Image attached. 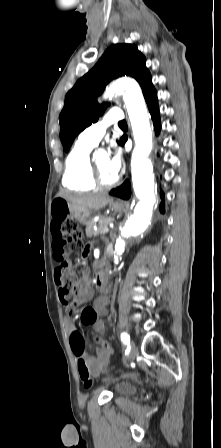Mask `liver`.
<instances>
[{
  "instance_id": "1",
  "label": "liver",
  "mask_w": 221,
  "mask_h": 448,
  "mask_svg": "<svg viewBox=\"0 0 221 448\" xmlns=\"http://www.w3.org/2000/svg\"><path fill=\"white\" fill-rule=\"evenodd\" d=\"M58 197H62L73 208L78 210H100L112 201V198L105 193L91 194V195H71L68 193H59Z\"/></svg>"
}]
</instances>
